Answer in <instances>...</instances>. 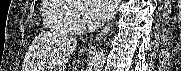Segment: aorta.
Returning a JSON list of instances; mask_svg holds the SVG:
<instances>
[{"mask_svg": "<svg viewBox=\"0 0 181 71\" xmlns=\"http://www.w3.org/2000/svg\"><path fill=\"white\" fill-rule=\"evenodd\" d=\"M105 64V50L98 51L90 61L86 71H102Z\"/></svg>", "mask_w": 181, "mask_h": 71, "instance_id": "762f6f07", "label": "aorta"}]
</instances>
